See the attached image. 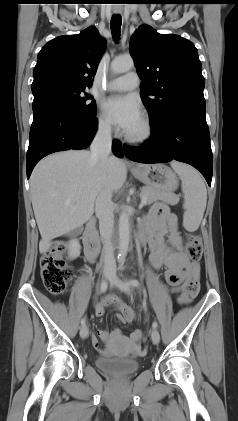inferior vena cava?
Here are the masks:
<instances>
[{
    "mask_svg": "<svg viewBox=\"0 0 238 421\" xmlns=\"http://www.w3.org/2000/svg\"><path fill=\"white\" fill-rule=\"evenodd\" d=\"M111 127L102 125L98 128L96 136L91 144V161L106 166L109 154L111 153ZM112 191L104 187L96 198L95 213L99 219L100 235L104 239V263L114 264V248L111 242L114 226V215L112 206Z\"/></svg>",
    "mask_w": 238,
    "mask_h": 421,
    "instance_id": "inferior-vena-cava-1",
    "label": "inferior vena cava"
}]
</instances>
